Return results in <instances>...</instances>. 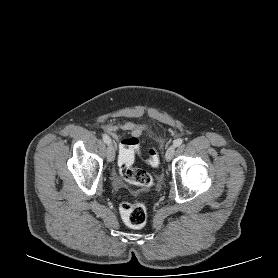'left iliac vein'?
Here are the masks:
<instances>
[{
  "label": "left iliac vein",
  "mask_w": 278,
  "mask_h": 278,
  "mask_svg": "<svg viewBox=\"0 0 278 278\" xmlns=\"http://www.w3.org/2000/svg\"><path fill=\"white\" fill-rule=\"evenodd\" d=\"M174 153H175V146L171 145L166 151V154H165L166 160L170 161L173 158Z\"/></svg>",
  "instance_id": "obj_1"
}]
</instances>
